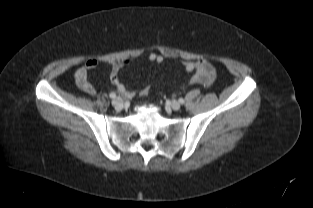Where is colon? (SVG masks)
Listing matches in <instances>:
<instances>
[{
	"mask_svg": "<svg viewBox=\"0 0 313 208\" xmlns=\"http://www.w3.org/2000/svg\"><path fill=\"white\" fill-rule=\"evenodd\" d=\"M211 83H212V81H211L210 83H208V85H211ZM148 93H149V88H148V87H145V88H143V89L140 91V94H141L142 96H146V95H148Z\"/></svg>",
	"mask_w": 313,
	"mask_h": 208,
	"instance_id": "colon-1",
	"label": "colon"
}]
</instances>
